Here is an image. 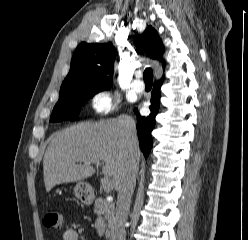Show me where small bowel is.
<instances>
[{
  "label": "small bowel",
  "instance_id": "obj_1",
  "mask_svg": "<svg viewBox=\"0 0 248 240\" xmlns=\"http://www.w3.org/2000/svg\"><path fill=\"white\" fill-rule=\"evenodd\" d=\"M62 239L63 240H79V235L76 230L72 228H68L64 230L62 234Z\"/></svg>",
  "mask_w": 248,
  "mask_h": 240
}]
</instances>
